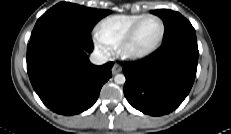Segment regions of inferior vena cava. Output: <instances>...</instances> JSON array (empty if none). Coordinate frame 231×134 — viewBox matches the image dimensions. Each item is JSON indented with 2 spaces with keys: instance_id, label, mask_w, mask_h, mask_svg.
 Wrapping results in <instances>:
<instances>
[{
  "instance_id": "inferior-vena-cava-1",
  "label": "inferior vena cava",
  "mask_w": 231,
  "mask_h": 134,
  "mask_svg": "<svg viewBox=\"0 0 231 134\" xmlns=\"http://www.w3.org/2000/svg\"><path fill=\"white\" fill-rule=\"evenodd\" d=\"M90 61L94 65H102L108 61V57L102 52L94 51L90 56Z\"/></svg>"
}]
</instances>
